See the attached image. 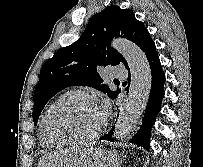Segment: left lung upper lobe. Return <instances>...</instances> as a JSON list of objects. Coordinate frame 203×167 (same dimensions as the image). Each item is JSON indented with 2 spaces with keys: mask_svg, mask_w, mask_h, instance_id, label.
<instances>
[{
  "mask_svg": "<svg viewBox=\"0 0 203 167\" xmlns=\"http://www.w3.org/2000/svg\"><path fill=\"white\" fill-rule=\"evenodd\" d=\"M114 37L127 38L141 49L152 40L132 10L112 5L92 16L79 40L58 50L42 66L34 91V125L47 102L66 87L90 86L111 99L117 97L121 90L110 91L98 72L108 65L124 64L128 68L123 56L110 46Z\"/></svg>",
  "mask_w": 203,
  "mask_h": 167,
  "instance_id": "obj_1",
  "label": "left lung upper lobe"
}]
</instances>
